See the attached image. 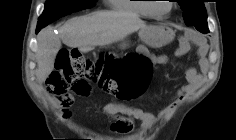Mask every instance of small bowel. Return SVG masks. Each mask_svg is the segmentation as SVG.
<instances>
[{"mask_svg": "<svg viewBox=\"0 0 236 140\" xmlns=\"http://www.w3.org/2000/svg\"><path fill=\"white\" fill-rule=\"evenodd\" d=\"M186 51L187 42L183 40L177 53L178 55H183ZM145 57L149 59L154 67L165 65L168 62L166 55L146 54ZM200 57L203 59V54H200ZM185 79L186 83L177 90L174 98L170 100L168 105L158 115H154L143 108L125 104L111 103L105 106L103 113L113 120L111 130L117 134L130 135L134 131L135 121H140L142 130L144 132L150 131L158 121L171 115L185 97L198 89L202 84V75L194 67L186 70ZM71 104L72 99L63 103L62 113L66 119L71 117V111L69 110Z\"/></svg>", "mask_w": 236, "mask_h": 140, "instance_id": "small-bowel-1", "label": "small bowel"}]
</instances>
